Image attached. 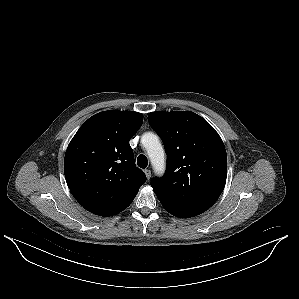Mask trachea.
<instances>
[{
    "label": "trachea",
    "instance_id": "3493384b",
    "mask_svg": "<svg viewBox=\"0 0 299 299\" xmlns=\"http://www.w3.org/2000/svg\"><path fill=\"white\" fill-rule=\"evenodd\" d=\"M137 165L140 167V168H146L147 165H148V160L146 158L145 155L141 154L138 156L137 158Z\"/></svg>",
    "mask_w": 299,
    "mask_h": 299
}]
</instances>
